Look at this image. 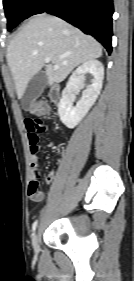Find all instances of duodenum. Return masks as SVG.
I'll return each mask as SVG.
<instances>
[{
    "mask_svg": "<svg viewBox=\"0 0 134 281\" xmlns=\"http://www.w3.org/2000/svg\"><path fill=\"white\" fill-rule=\"evenodd\" d=\"M60 88L58 85H54L50 92H49V98L52 102H57L60 96Z\"/></svg>",
    "mask_w": 134,
    "mask_h": 281,
    "instance_id": "410a0bca",
    "label": "duodenum"
}]
</instances>
